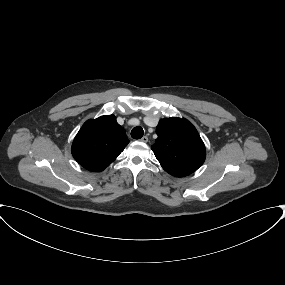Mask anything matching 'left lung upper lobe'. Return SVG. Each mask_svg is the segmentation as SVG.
<instances>
[{
	"instance_id": "5c2ea615",
	"label": "left lung upper lobe",
	"mask_w": 285,
	"mask_h": 285,
	"mask_svg": "<svg viewBox=\"0 0 285 285\" xmlns=\"http://www.w3.org/2000/svg\"><path fill=\"white\" fill-rule=\"evenodd\" d=\"M156 134L158 138L151 149L169 174L183 177L193 173L204 163L205 145L195 127L186 119H161Z\"/></svg>"
}]
</instances>
